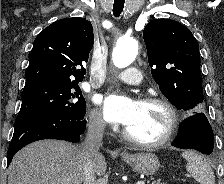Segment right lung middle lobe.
Returning a JSON list of instances; mask_svg holds the SVG:
<instances>
[{
  "label": "right lung middle lobe",
  "instance_id": "dd1d6c3e",
  "mask_svg": "<svg viewBox=\"0 0 224 184\" xmlns=\"http://www.w3.org/2000/svg\"><path fill=\"white\" fill-rule=\"evenodd\" d=\"M21 98L22 105L15 120V127L41 116L84 118L86 114V103L78 82H30L25 84Z\"/></svg>",
  "mask_w": 224,
  "mask_h": 184
}]
</instances>
